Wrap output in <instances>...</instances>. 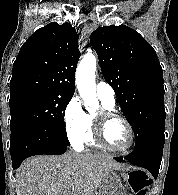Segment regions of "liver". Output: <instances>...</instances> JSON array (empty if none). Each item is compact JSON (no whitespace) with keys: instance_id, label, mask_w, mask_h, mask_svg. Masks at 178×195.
I'll list each match as a JSON object with an SVG mask.
<instances>
[{"instance_id":"obj_1","label":"liver","mask_w":178,"mask_h":195,"mask_svg":"<svg viewBox=\"0 0 178 195\" xmlns=\"http://www.w3.org/2000/svg\"><path fill=\"white\" fill-rule=\"evenodd\" d=\"M125 164L98 154L34 156L16 173V195H95L107 173Z\"/></svg>"}]
</instances>
